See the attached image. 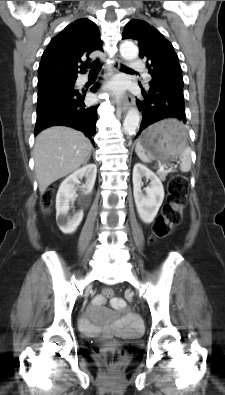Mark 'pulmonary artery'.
Returning <instances> with one entry per match:
<instances>
[{
	"mask_svg": "<svg viewBox=\"0 0 225 395\" xmlns=\"http://www.w3.org/2000/svg\"><path fill=\"white\" fill-rule=\"evenodd\" d=\"M131 67H132L134 70L142 71L144 77L146 78V80H147V81L150 80V77H151V76L145 71L144 64H143L140 60H138V59L133 60V61L131 62ZM86 80H87V77H85V76H83V77H81V78L79 79L80 82H85Z\"/></svg>",
	"mask_w": 225,
	"mask_h": 395,
	"instance_id": "e3ab8cb5",
	"label": "pulmonary artery"
}]
</instances>
